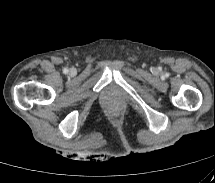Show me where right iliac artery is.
Returning <instances> with one entry per match:
<instances>
[{
  "label": "right iliac artery",
  "instance_id": "obj_1",
  "mask_svg": "<svg viewBox=\"0 0 215 183\" xmlns=\"http://www.w3.org/2000/svg\"><path fill=\"white\" fill-rule=\"evenodd\" d=\"M63 72H64L65 74L68 73V69L65 68V69L63 70Z\"/></svg>",
  "mask_w": 215,
  "mask_h": 183
}]
</instances>
